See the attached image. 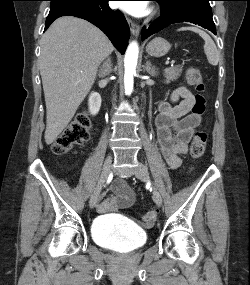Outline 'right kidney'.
<instances>
[{
	"label": "right kidney",
	"mask_w": 250,
	"mask_h": 285,
	"mask_svg": "<svg viewBox=\"0 0 250 285\" xmlns=\"http://www.w3.org/2000/svg\"><path fill=\"white\" fill-rule=\"evenodd\" d=\"M89 111L91 115L98 114L101 107V96L97 92H92L88 100Z\"/></svg>",
	"instance_id": "ca27d5eb"
}]
</instances>
